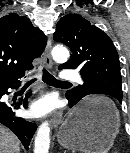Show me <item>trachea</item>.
I'll return each instance as SVG.
<instances>
[{
  "label": "trachea",
  "instance_id": "obj_1",
  "mask_svg": "<svg viewBox=\"0 0 130 153\" xmlns=\"http://www.w3.org/2000/svg\"><path fill=\"white\" fill-rule=\"evenodd\" d=\"M43 81L52 86H64V85H70L69 82L59 81L57 80L53 75H51L47 70L43 69V75H42ZM36 81V78L30 79L25 82L26 85H30Z\"/></svg>",
  "mask_w": 130,
  "mask_h": 153
}]
</instances>
